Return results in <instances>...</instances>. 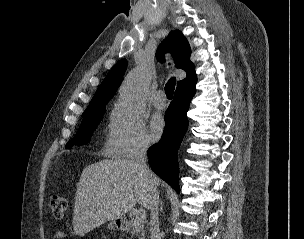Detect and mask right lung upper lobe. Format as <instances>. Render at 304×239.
Here are the masks:
<instances>
[{"label":"right lung upper lobe","mask_w":304,"mask_h":239,"mask_svg":"<svg viewBox=\"0 0 304 239\" xmlns=\"http://www.w3.org/2000/svg\"><path fill=\"white\" fill-rule=\"evenodd\" d=\"M169 50L172 52L176 68H181L186 72V78L177 82L178 87L180 84L196 76L194 64L190 61L191 49L188 41L181 31L175 30L171 32L170 35L160 44L156 53L157 59L164 61V54ZM126 67V59H122L115 64L98 87L86 110L98 108L108 103L121 84Z\"/></svg>","instance_id":"cb5924a9"}]
</instances>
